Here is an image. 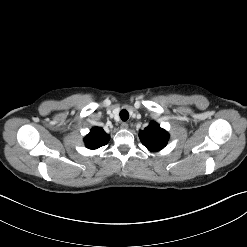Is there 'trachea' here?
I'll return each mask as SVG.
<instances>
[{
    "instance_id": "1",
    "label": "trachea",
    "mask_w": 247,
    "mask_h": 247,
    "mask_svg": "<svg viewBox=\"0 0 247 247\" xmlns=\"http://www.w3.org/2000/svg\"><path fill=\"white\" fill-rule=\"evenodd\" d=\"M120 118L122 121H127L129 119V113L127 110L120 111Z\"/></svg>"
}]
</instances>
